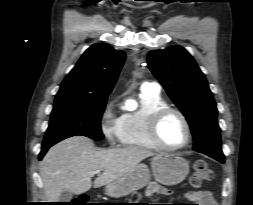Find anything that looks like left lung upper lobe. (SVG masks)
<instances>
[{
    "mask_svg": "<svg viewBox=\"0 0 253 205\" xmlns=\"http://www.w3.org/2000/svg\"><path fill=\"white\" fill-rule=\"evenodd\" d=\"M148 67L190 124L193 149L224 160L217 108L207 80L192 56L181 46L153 50Z\"/></svg>",
    "mask_w": 253,
    "mask_h": 205,
    "instance_id": "5c2ea615",
    "label": "left lung upper lobe"
}]
</instances>
